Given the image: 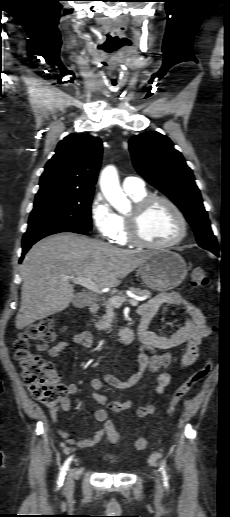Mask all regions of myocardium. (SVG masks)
I'll return each instance as SVG.
<instances>
[{
	"label": "myocardium",
	"instance_id": "f54148a6",
	"mask_svg": "<svg viewBox=\"0 0 230 517\" xmlns=\"http://www.w3.org/2000/svg\"><path fill=\"white\" fill-rule=\"evenodd\" d=\"M155 202H163L168 205L180 221V233L171 241L165 243H154L144 238L141 231V220L148 208ZM129 241L139 247L149 249L171 248L179 244L187 235L188 222L181 209L170 198L163 195H147L135 203L133 210L127 216Z\"/></svg>",
	"mask_w": 230,
	"mask_h": 517
}]
</instances>
